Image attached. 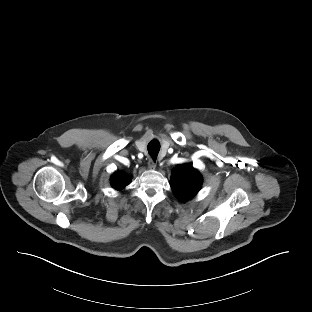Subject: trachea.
I'll use <instances>...</instances> for the list:
<instances>
[{
    "mask_svg": "<svg viewBox=\"0 0 312 312\" xmlns=\"http://www.w3.org/2000/svg\"><path fill=\"white\" fill-rule=\"evenodd\" d=\"M147 150H148L149 154L151 155V157L153 158V160L156 161L157 155H158L159 150H160V144H159L158 140L154 139V140L150 141L148 146H147Z\"/></svg>",
    "mask_w": 312,
    "mask_h": 312,
    "instance_id": "1",
    "label": "trachea"
}]
</instances>
